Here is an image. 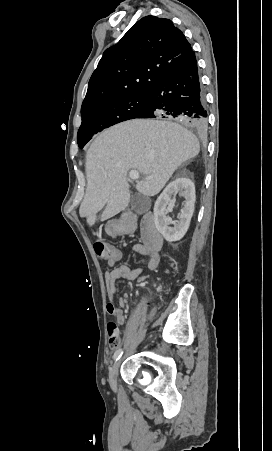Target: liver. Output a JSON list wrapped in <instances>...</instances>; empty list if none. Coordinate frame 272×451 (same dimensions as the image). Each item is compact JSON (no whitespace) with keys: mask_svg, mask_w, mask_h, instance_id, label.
Instances as JSON below:
<instances>
[{"mask_svg":"<svg viewBox=\"0 0 272 451\" xmlns=\"http://www.w3.org/2000/svg\"><path fill=\"white\" fill-rule=\"evenodd\" d=\"M199 152L196 136L175 122L128 120L104 130L87 152L81 218L94 226L105 204L101 222L125 210L130 202L127 174L132 168L147 178L137 182V192L156 196L178 166Z\"/></svg>","mask_w":272,"mask_h":451,"instance_id":"1","label":"liver"}]
</instances>
